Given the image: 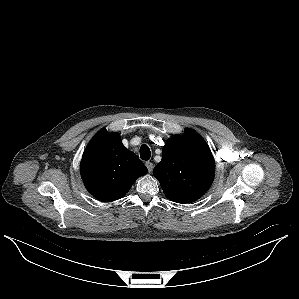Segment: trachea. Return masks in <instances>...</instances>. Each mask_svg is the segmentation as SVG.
Masks as SVG:
<instances>
[{
    "label": "trachea",
    "mask_w": 299,
    "mask_h": 299,
    "mask_svg": "<svg viewBox=\"0 0 299 299\" xmlns=\"http://www.w3.org/2000/svg\"><path fill=\"white\" fill-rule=\"evenodd\" d=\"M140 157L142 160H149L151 157L150 149L146 144L140 147Z\"/></svg>",
    "instance_id": "3493384b"
}]
</instances>
